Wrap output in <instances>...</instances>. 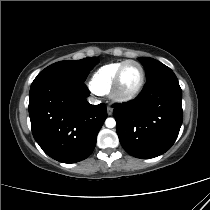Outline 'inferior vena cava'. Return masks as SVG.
I'll return each instance as SVG.
<instances>
[{"label":"inferior vena cava","mask_w":210,"mask_h":210,"mask_svg":"<svg viewBox=\"0 0 210 210\" xmlns=\"http://www.w3.org/2000/svg\"><path fill=\"white\" fill-rule=\"evenodd\" d=\"M88 102H89L90 104H94V105H97V104L100 103V101L97 100V99L94 98V97H89V98H88Z\"/></svg>","instance_id":"1"}]
</instances>
